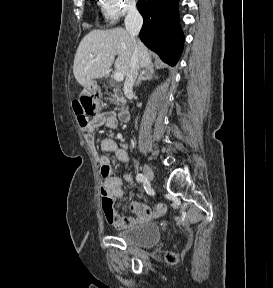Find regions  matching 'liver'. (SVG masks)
Wrapping results in <instances>:
<instances>
[{"mask_svg":"<svg viewBox=\"0 0 273 288\" xmlns=\"http://www.w3.org/2000/svg\"><path fill=\"white\" fill-rule=\"evenodd\" d=\"M135 46L139 65L151 66L147 47L139 40L134 42L127 30H92L82 39L75 54L73 73L76 81L87 88L93 79L106 76L113 63L117 72L126 76Z\"/></svg>","mask_w":273,"mask_h":288,"instance_id":"obj_1","label":"liver"}]
</instances>
